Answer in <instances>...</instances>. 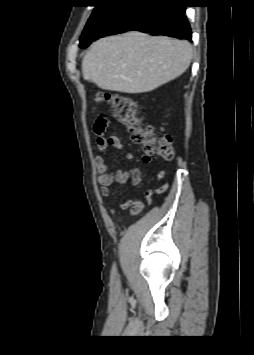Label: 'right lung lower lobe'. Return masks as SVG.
<instances>
[{"label": "right lung lower lobe", "mask_w": 254, "mask_h": 355, "mask_svg": "<svg viewBox=\"0 0 254 355\" xmlns=\"http://www.w3.org/2000/svg\"><path fill=\"white\" fill-rule=\"evenodd\" d=\"M185 6L182 0H135L119 4L92 41L131 30L191 41ZM91 42L80 40V47H88Z\"/></svg>", "instance_id": "obj_1"}]
</instances>
